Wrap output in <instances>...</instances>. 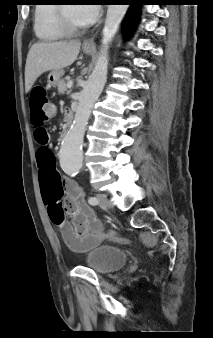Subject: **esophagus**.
I'll list each match as a JSON object with an SVG mask.
<instances>
[{
  "label": "esophagus",
  "mask_w": 213,
  "mask_h": 338,
  "mask_svg": "<svg viewBox=\"0 0 213 338\" xmlns=\"http://www.w3.org/2000/svg\"><path fill=\"white\" fill-rule=\"evenodd\" d=\"M84 46L94 47L95 46L94 38L92 37V38L86 40L84 42Z\"/></svg>",
  "instance_id": "esophagus-1"
}]
</instances>
